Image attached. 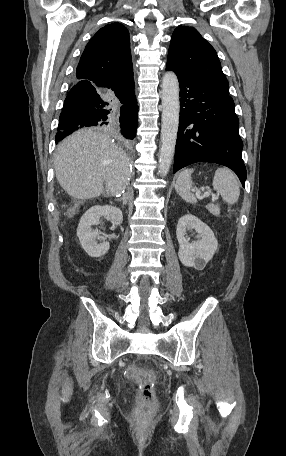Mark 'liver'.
<instances>
[{
	"label": "liver",
	"mask_w": 286,
	"mask_h": 456,
	"mask_svg": "<svg viewBox=\"0 0 286 456\" xmlns=\"http://www.w3.org/2000/svg\"><path fill=\"white\" fill-rule=\"evenodd\" d=\"M54 169L68 195L86 200L100 196L104 184L111 195L121 194L128 185L130 161L108 136L85 129L58 147Z\"/></svg>",
	"instance_id": "liver-1"
}]
</instances>
